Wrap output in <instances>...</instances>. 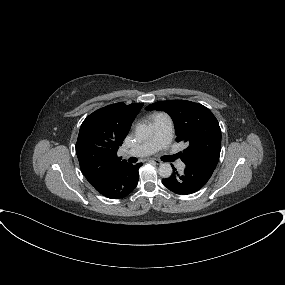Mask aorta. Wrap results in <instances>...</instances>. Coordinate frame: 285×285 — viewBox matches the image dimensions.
I'll use <instances>...</instances> for the list:
<instances>
[{
  "label": "aorta",
  "mask_w": 285,
  "mask_h": 285,
  "mask_svg": "<svg viewBox=\"0 0 285 285\" xmlns=\"http://www.w3.org/2000/svg\"><path fill=\"white\" fill-rule=\"evenodd\" d=\"M153 129L146 124H139L135 129V135L140 140H148L152 137ZM172 167L169 163H162L158 168V173L163 178H169L172 174Z\"/></svg>",
  "instance_id": "762f6f07"
}]
</instances>
